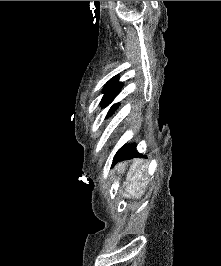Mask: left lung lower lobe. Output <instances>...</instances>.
<instances>
[{
  "label": "left lung lower lobe",
  "mask_w": 221,
  "mask_h": 266,
  "mask_svg": "<svg viewBox=\"0 0 221 266\" xmlns=\"http://www.w3.org/2000/svg\"><path fill=\"white\" fill-rule=\"evenodd\" d=\"M136 156H140V154L137 152L135 144L124 145L114 156L113 164Z\"/></svg>",
  "instance_id": "0a47b994"
}]
</instances>
